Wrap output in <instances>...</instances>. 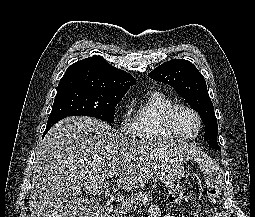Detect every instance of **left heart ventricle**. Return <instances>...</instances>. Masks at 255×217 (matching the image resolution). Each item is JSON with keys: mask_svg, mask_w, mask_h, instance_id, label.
Segmentation results:
<instances>
[{"mask_svg": "<svg viewBox=\"0 0 255 217\" xmlns=\"http://www.w3.org/2000/svg\"><path fill=\"white\" fill-rule=\"evenodd\" d=\"M174 121L177 129L183 134H193L197 129L196 117L186 109L178 110Z\"/></svg>", "mask_w": 255, "mask_h": 217, "instance_id": "left-heart-ventricle-1", "label": "left heart ventricle"}]
</instances>
